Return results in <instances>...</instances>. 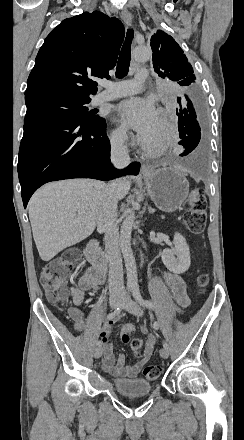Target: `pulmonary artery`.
<instances>
[{
	"label": "pulmonary artery",
	"instance_id": "1",
	"mask_svg": "<svg viewBox=\"0 0 244 440\" xmlns=\"http://www.w3.org/2000/svg\"><path fill=\"white\" fill-rule=\"evenodd\" d=\"M146 69H137L136 75H129L128 82H112L109 85V92L103 91L92 99L93 105L119 99L126 96H134L140 89L141 78H146Z\"/></svg>",
	"mask_w": 244,
	"mask_h": 440
}]
</instances>
